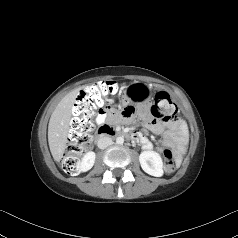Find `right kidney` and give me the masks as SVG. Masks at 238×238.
<instances>
[{
    "label": "right kidney",
    "instance_id": "obj_1",
    "mask_svg": "<svg viewBox=\"0 0 238 238\" xmlns=\"http://www.w3.org/2000/svg\"><path fill=\"white\" fill-rule=\"evenodd\" d=\"M95 156L96 155L94 152H92V151L87 152L81 160V163L79 166L80 171L86 172V171L90 170L95 163Z\"/></svg>",
    "mask_w": 238,
    "mask_h": 238
}]
</instances>
